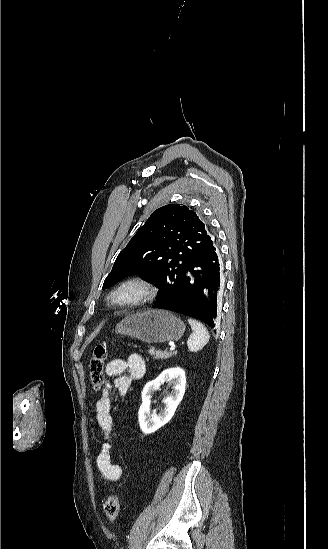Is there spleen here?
Instances as JSON below:
<instances>
[{"label":"spleen","instance_id":"obj_1","mask_svg":"<svg viewBox=\"0 0 328 549\" xmlns=\"http://www.w3.org/2000/svg\"><path fill=\"white\" fill-rule=\"evenodd\" d=\"M188 323L193 331L187 341L188 349L192 353H197V351H201L209 343L210 335L206 327L202 323H199V321L188 319Z\"/></svg>","mask_w":328,"mask_h":549}]
</instances>
